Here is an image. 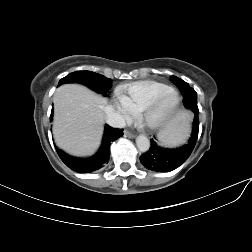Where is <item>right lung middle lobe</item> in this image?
<instances>
[{"label":"right lung middle lobe","instance_id":"right-lung-middle-lobe-1","mask_svg":"<svg viewBox=\"0 0 252 252\" xmlns=\"http://www.w3.org/2000/svg\"><path fill=\"white\" fill-rule=\"evenodd\" d=\"M74 82L82 83L90 89L103 94L104 96L107 95L108 90L112 86L111 79L91 71H76L70 73L59 81L58 86L65 83Z\"/></svg>","mask_w":252,"mask_h":252}]
</instances>
